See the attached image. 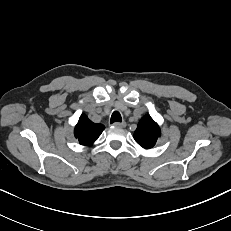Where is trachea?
Returning <instances> with one entry per match:
<instances>
[{"label": "trachea", "instance_id": "trachea-1", "mask_svg": "<svg viewBox=\"0 0 231 231\" xmlns=\"http://www.w3.org/2000/svg\"><path fill=\"white\" fill-rule=\"evenodd\" d=\"M122 121V118H121V115L118 111H114L112 116H111V120H110V123H114V122H121Z\"/></svg>", "mask_w": 231, "mask_h": 231}]
</instances>
